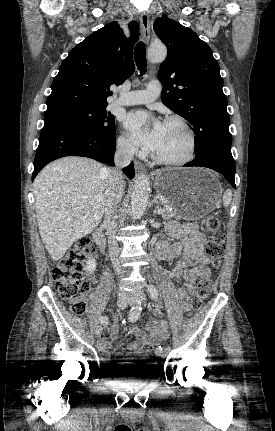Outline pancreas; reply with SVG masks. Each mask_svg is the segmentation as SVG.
<instances>
[{
  "instance_id": "obj_1",
  "label": "pancreas",
  "mask_w": 275,
  "mask_h": 431,
  "mask_svg": "<svg viewBox=\"0 0 275 431\" xmlns=\"http://www.w3.org/2000/svg\"><path fill=\"white\" fill-rule=\"evenodd\" d=\"M167 207H168L167 205H164L165 212L162 214V218L163 219H171V218L179 219V216L177 215V213L173 210H168Z\"/></svg>"
}]
</instances>
